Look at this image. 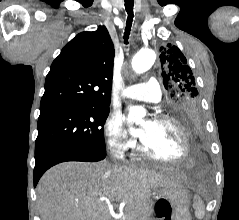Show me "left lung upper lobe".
<instances>
[{"mask_svg":"<svg viewBox=\"0 0 239 220\" xmlns=\"http://www.w3.org/2000/svg\"><path fill=\"white\" fill-rule=\"evenodd\" d=\"M164 87L169 94L170 110L176 117L186 111L201 110L194 76L187 60L177 46L160 48Z\"/></svg>","mask_w":239,"mask_h":220,"instance_id":"1","label":"left lung upper lobe"}]
</instances>
